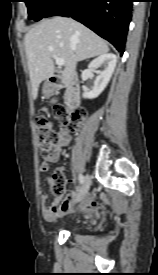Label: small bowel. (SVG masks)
Here are the masks:
<instances>
[{"instance_id":"obj_1","label":"small bowel","mask_w":158,"mask_h":275,"mask_svg":"<svg viewBox=\"0 0 158 275\" xmlns=\"http://www.w3.org/2000/svg\"><path fill=\"white\" fill-rule=\"evenodd\" d=\"M72 139L71 133L68 129H61L58 132V139L54 144L53 148L45 156L44 161L40 166L42 172H46L49 169L50 164L57 163L62 154V150L67 146ZM60 171L64 168L60 167ZM50 182V177H48ZM79 194L76 195L75 190H71L66 197L60 199H55L50 205L47 204V196L45 194L41 195V208L44 219L48 221L54 220L57 216L62 215L72 209V203H78L77 209L84 212L85 214H90L98 208V202L93 196L88 198H78Z\"/></svg>"}]
</instances>
